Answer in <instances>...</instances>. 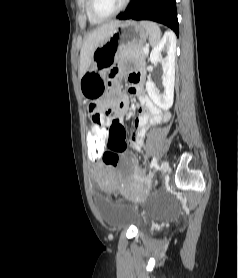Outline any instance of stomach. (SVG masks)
<instances>
[{
	"label": "stomach",
	"mask_w": 238,
	"mask_h": 278,
	"mask_svg": "<svg viewBox=\"0 0 238 278\" xmlns=\"http://www.w3.org/2000/svg\"><path fill=\"white\" fill-rule=\"evenodd\" d=\"M148 36L145 25L132 20L120 22L111 30L106 41L95 49L91 67L80 78L83 97L96 102L106 91L107 71L116 64L119 52L128 45H144Z\"/></svg>",
	"instance_id": "1"
}]
</instances>
